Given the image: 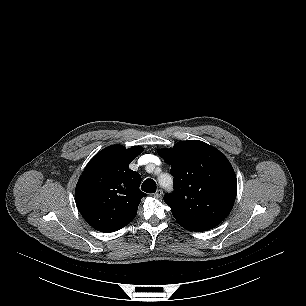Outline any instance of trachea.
Here are the masks:
<instances>
[{
	"mask_svg": "<svg viewBox=\"0 0 306 306\" xmlns=\"http://www.w3.org/2000/svg\"><path fill=\"white\" fill-rule=\"evenodd\" d=\"M141 189L146 193H155L156 192V183L152 179H146L143 182Z\"/></svg>",
	"mask_w": 306,
	"mask_h": 306,
	"instance_id": "3493384b",
	"label": "trachea"
}]
</instances>
